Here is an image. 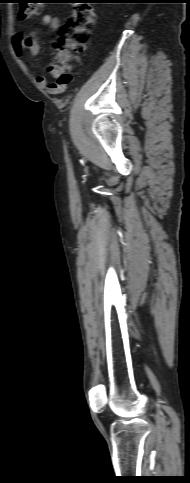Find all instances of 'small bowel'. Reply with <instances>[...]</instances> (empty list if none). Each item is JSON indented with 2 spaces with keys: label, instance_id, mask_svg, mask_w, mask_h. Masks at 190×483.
Returning <instances> with one entry per match:
<instances>
[{
  "label": "small bowel",
  "instance_id": "small-bowel-1",
  "mask_svg": "<svg viewBox=\"0 0 190 483\" xmlns=\"http://www.w3.org/2000/svg\"><path fill=\"white\" fill-rule=\"evenodd\" d=\"M42 23L48 25L53 31H56L60 28V19L56 17H52L49 14H46L42 18ZM11 46L13 52L16 56L21 57L24 50H27L30 55L35 56L39 52L40 44L34 34H22L18 33L15 34L11 40ZM36 82L38 85L42 87H47L48 91L52 94H56L61 92L63 89L56 88L55 83H48V79L44 75L36 76Z\"/></svg>",
  "mask_w": 190,
  "mask_h": 483
}]
</instances>
